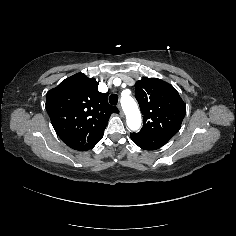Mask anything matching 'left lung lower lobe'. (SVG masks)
<instances>
[{
	"instance_id": "left-lung-lower-lobe-1",
	"label": "left lung lower lobe",
	"mask_w": 236,
	"mask_h": 236,
	"mask_svg": "<svg viewBox=\"0 0 236 236\" xmlns=\"http://www.w3.org/2000/svg\"><path fill=\"white\" fill-rule=\"evenodd\" d=\"M130 136L135 144L145 150H156L170 140L163 137L142 136L139 133H131Z\"/></svg>"
}]
</instances>
